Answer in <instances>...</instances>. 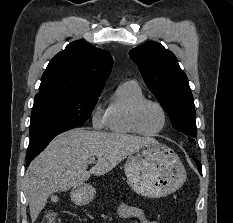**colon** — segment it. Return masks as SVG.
I'll list each match as a JSON object with an SVG mask.
<instances>
[{"label":"colon","mask_w":233,"mask_h":223,"mask_svg":"<svg viewBox=\"0 0 233 223\" xmlns=\"http://www.w3.org/2000/svg\"><path fill=\"white\" fill-rule=\"evenodd\" d=\"M43 223H60V220L55 212H49L45 215Z\"/></svg>","instance_id":"obj_1"}]
</instances>
